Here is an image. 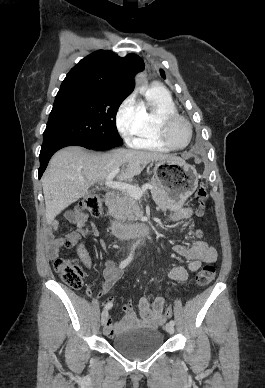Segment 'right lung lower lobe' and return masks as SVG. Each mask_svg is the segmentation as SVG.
Returning <instances> with one entry per match:
<instances>
[{"mask_svg":"<svg viewBox=\"0 0 265 388\" xmlns=\"http://www.w3.org/2000/svg\"><path fill=\"white\" fill-rule=\"evenodd\" d=\"M71 145H77L82 146L87 149H92L91 147L87 146L85 143L77 140L72 139H60L52 141L48 144L42 145L41 152L39 155L40 159V168L38 170L39 178L42 176L43 172L45 171V168L47 167V164L52 157V155L59 149L71 146Z\"/></svg>","mask_w":265,"mask_h":388,"instance_id":"right-lung-lower-lobe-1","label":"right lung lower lobe"}]
</instances>
